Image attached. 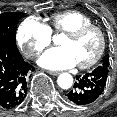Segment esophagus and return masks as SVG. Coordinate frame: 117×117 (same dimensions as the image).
Returning <instances> with one entry per match:
<instances>
[{
    "label": "esophagus",
    "mask_w": 117,
    "mask_h": 117,
    "mask_svg": "<svg viewBox=\"0 0 117 117\" xmlns=\"http://www.w3.org/2000/svg\"><path fill=\"white\" fill-rule=\"evenodd\" d=\"M50 75H58L59 74V72L58 71H52V70H49V71H47Z\"/></svg>",
    "instance_id": "34e87169"
}]
</instances>
